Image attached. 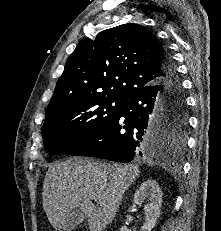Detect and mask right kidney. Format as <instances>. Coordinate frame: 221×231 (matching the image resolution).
<instances>
[{"label":"right kidney","mask_w":221,"mask_h":231,"mask_svg":"<svg viewBox=\"0 0 221 231\" xmlns=\"http://www.w3.org/2000/svg\"><path fill=\"white\" fill-rule=\"evenodd\" d=\"M147 201L144 206L145 223L140 231H151L154 228L159 216L162 204V191L155 180H147L142 183L134 195V205H139ZM120 231H130L126 226H122Z\"/></svg>","instance_id":"1"}]
</instances>
